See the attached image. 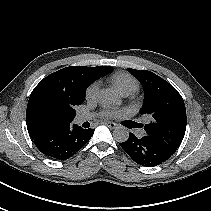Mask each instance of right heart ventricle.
I'll list each match as a JSON object with an SVG mask.
<instances>
[{
	"label": "right heart ventricle",
	"mask_w": 211,
	"mask_h": 211,
	"mask_svg": "<svg viewBox=\"0 0 211 211\" xmlns=\"http://www.w3.org/2000/svg\"><path fill=\"white\" fill-rule=\"evenodd\" d=\"M111 81L121 94H132L139 87L138 81L130 74L124 72L115 74Z\"/></svg>",
	"instance_id": "1"
}]
</instances>
